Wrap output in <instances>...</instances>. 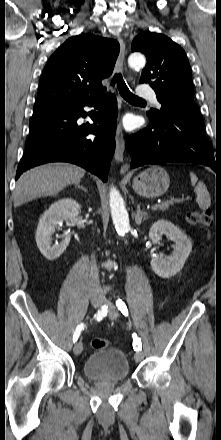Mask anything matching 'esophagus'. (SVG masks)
<instances>
[{
	"label": "esophagus",
	"instance_id": "esophagus-1",
	"mask_svg": "<svg viewBox=\"0 0 221 440\" xmlns=\"http://www.w3.org/2000/svg\"><path fill=\"white\" fill-rule=\"evenodd\" d=\"M119 44H120V52L116 62V70L118 72L122 71L125 60V43L123 39L120 37H119ZM115 140H116V148H115L114 158L117 162H122L123 154L125 150V140H124V134H123L121 122L118 124ZM128 168H129L128 164H124L121 167V173L125 174L128 171Z\"/></svg>",
	"mask_w": 221,
	"mask_h": 440
}]
</instances>
